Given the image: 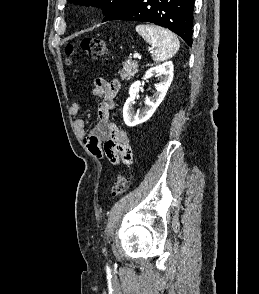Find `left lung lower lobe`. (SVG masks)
<instances>
[{"label": "left lung lower lobe", "mask_w": 259, "mask_h": 294, "mask_svg": "<svg viewBox=\"0 0 259 294\" xmlns=\"http://www.w3.org/2000/svg\"><path fill=\"white\" fill-rule=\"evenodd\" d=\"M194 0H134L108 19L151 22L170 29L192 46Z\"/></svg>", "instance_id": "0a47b994"}]
</instances>
